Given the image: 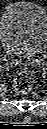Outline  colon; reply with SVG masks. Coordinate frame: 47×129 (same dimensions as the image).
Segmentation results:
<instances>
[{"instance_id": "colon-1", "label": "colon", "mask_w": 47, "mask_h": 129, "mask_svg": "<svg viewBox=\"0 0 47 129\" xmlns=\"http://www.w3.org/2000/svg\"><path fill=\"white\" fill-rule=\"evenodd\" d=\"M33 82V76L29 72H21L14 79V89L18 93L25 94L32 89Z\"/></svg>"}]
</instances>
